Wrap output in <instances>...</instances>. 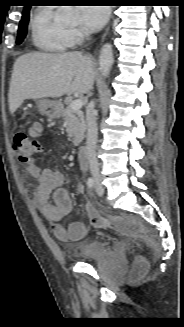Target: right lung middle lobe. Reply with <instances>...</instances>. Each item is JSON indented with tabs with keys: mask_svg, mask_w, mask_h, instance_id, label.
Instances as JSON below:
<instances>
[{
	"mask_svg": "<svg viewBox=\"0 0 184 327\" xmlns=\"http://www.w3.org/2000/svg\"><path fill=\"white\" fill-rule=\"evenodd\" d=\"M29 14H30V12L27 11V12L23 13V15H22V19L20 21L19 30H18V34H17V41H16L17 44H20L26 37L27 25H28V21H29Z\"/></svg>",
	"mask_w": 184,
	"mask_h": 327,
	"instance_id": "obj_1",
	"label": "right lung middle lobe"
}]
</instances>
